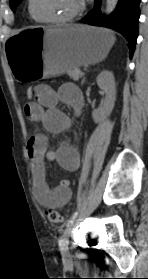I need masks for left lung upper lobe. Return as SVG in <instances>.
Returning <instances> with one entry per match:
<instances>
[{
  "label": "left lung upper lobe",
  "instance_id": "obj_1",
  "mask_svg": "<svg viewBox=\"0 0 148 279\" xmlns=\"http://www.w3.org/2000/svg\"><path fill=\"white\" fill-rule=\"evenodd\" d=\"M22 0H10V7L12 10H15L17 5L21 2Z\"/></svg>",
  "mask_w": 148,
  "mask_h": 279
}]
</instances>
